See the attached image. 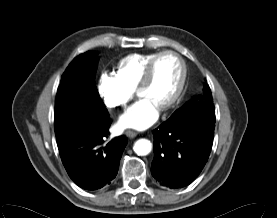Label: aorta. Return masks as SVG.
Segmentation results:
<instances>
[{
  "mask_svg": "<svg viewBox=\"0 0 277 218\" xmlns=\"http://www.w3.org/2000/svg\"><path fill=\"white\" fill-rule=\"evenodd\" d=\"M134 152L139 156H146L152 150V144L147 139H139L134 143Z\"/></svg>",
  "mask_w": 277,
  "mask_h": 218,
  "instance_id": "obj_1",
  "label": "aorta"
}]
</instances>
